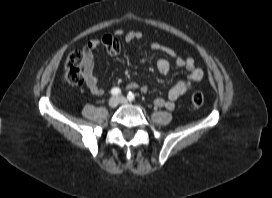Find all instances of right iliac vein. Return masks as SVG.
<instances>
[{
    "label": "right iliac vein",
    "mask_w": 272,
    "mask_h": 198,
    "mask_svg": "<svg viewBox=\"0 0 272 198\" xmlns=\"http://www.w3.org/2000/svg\"><path fill=\"white\" fill-rule=\"evenodd\" d=\"M119 104V100L117 97L113 96L109 99L108 101V105L111 107V108H115L117 107V105Z\"/></svg>",
    "instance_id": "1"
}]
</instances>
